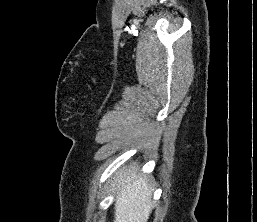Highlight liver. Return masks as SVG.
<instances>
[{"label":"liver","mask_w":257,"mask_h":222,"mask_svg":"<svg viewBox=\"0 0 257 222\" xmlns=\"http://www.w3.org/2000/svg\"><path fill=\"white\" fill-rule=\"evenodd\" d=\"M117 181L114 222H147L153 209L147 179L136 173H120Z\"/></svg>","instance_id":"liver-1"}]
</instances>
